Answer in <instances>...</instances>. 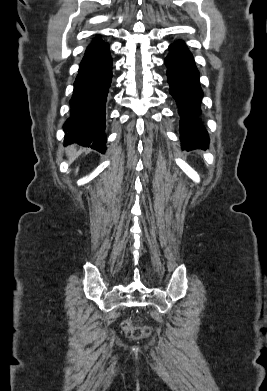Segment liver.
<instances>
[{"mask_svg":"<svg viewBox=\"0 0 267 391\" xmlns=\"http://www.w3.org/2000/svg\"><path fill=\"white\" fill-rule=\"evenodd\" d=\"M75 152V149L74 148H71L70 150H69V152H68V154L70 155V156H73V153Z\"/></svg>","mask_w":267,"mask_h":391,"instance_id":"6515ba94","label":"liver"}]
</instances>
